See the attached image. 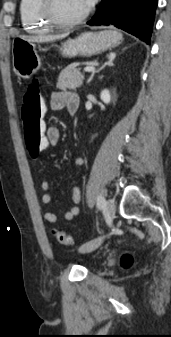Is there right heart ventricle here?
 <instances>
[{
    "label": "right heart ventricle",
    "mask_w": 171,
    "mask_h": 337,
    "mask_svg": "<svg viewBox=\"0 0 171 337\" xmlns=\"http://www.w3.org/2000/svg\"><path fill=\"white\" fill-rule=\"evenodd\" d=\"M20 18L26 31L42 32L51 28L43 17L41 0H20Z\"/></svg>",
    "instance_id": "e07e8e85"
}]
</instances>
